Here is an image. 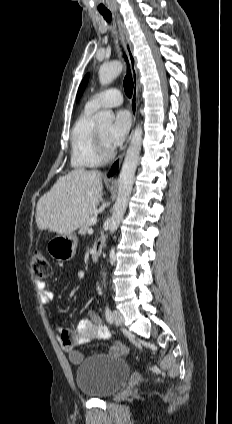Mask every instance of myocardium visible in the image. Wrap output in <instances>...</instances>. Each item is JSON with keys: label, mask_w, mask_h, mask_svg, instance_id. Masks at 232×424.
Masks as SVG:
<instances>
[{"label": "myocardium", "mask_w": 232, "mask_h": 424, "mask_svg": "<svg viewBox=\"0 0 232 424\" xmlns=\"http://www.w3.org/2000/svg\"><path fill=\"white\" fill-rule=\"evenodd\" d=\"M95 149L97 156L103 161L111 160L115 155V150L113 148H108L101 136L99 128H95Z\"/></svg>", "instance_id": "1"}]
</instances>
